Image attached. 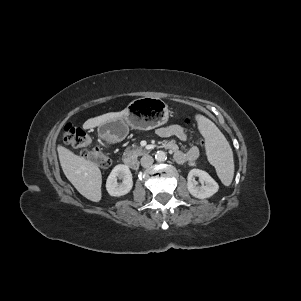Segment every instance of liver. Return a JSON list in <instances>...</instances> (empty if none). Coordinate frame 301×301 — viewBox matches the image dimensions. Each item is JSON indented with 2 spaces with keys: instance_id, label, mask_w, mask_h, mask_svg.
I'll list each match as a JSON object with an SVG mask.
<instances>
[{
  "instance_id": "6515ba94",
  "label": "liver",
  "mask_w": 301,
  "mask_h": 301,
  "mask_svg": "<svg viewBox=\"0 0 301 301\" xmlns=\"http://www.w3.org/2000/svg\"><path fill=\"white\" fill-rule=\"evenodd\" d=\"M126 114L127 109H124L120 112H110L90 118L83 124V128H94L108 121L123 118ZM57 151L67 179L85 198L99 202L101 200L102 175L98 166L61 145L57 147Z\"/></svg>"
}]
</instances>
